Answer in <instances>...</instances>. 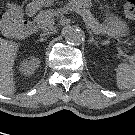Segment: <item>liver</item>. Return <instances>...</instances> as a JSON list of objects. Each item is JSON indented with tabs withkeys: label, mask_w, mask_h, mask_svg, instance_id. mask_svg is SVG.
<instances>
[{
	"label": "liver",
	"mask_w": 135,
	"mask_h": 135,
	"mask_svg": "<svg viewBox=\"0 0 135 135\" xmlns=\"http://www.w3.org/2000/svg\"><path fill=\"white\" fill-rule=\"evenodd\" d=\"M20 44L0 37V93L8 96L16 91L13 66Z\"/></svg>",
	"instance_id": "obj_1"
}]
</instances>
